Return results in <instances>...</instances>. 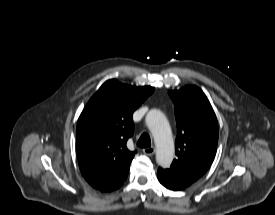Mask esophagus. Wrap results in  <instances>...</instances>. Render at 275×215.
<instances>
[{"mask_svg":"<svg viewBox=\"0 0 275 215\" xmlns=\"http://www.w3.org/2000/svg\"><path fill=\"white\" fill-rule=\"evenodd\" d=\"M143 153H144L145 155L151 156V155H153V154L155 153V148H154V147L144 148V149H143Z\"/></svg>","mask_w":275,"mask_h":215,"instance_id":"1","label":"esophagus"}]
</instances>
